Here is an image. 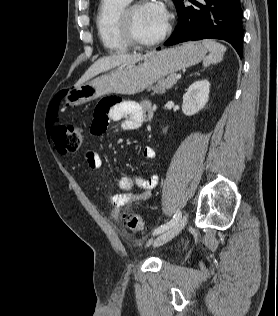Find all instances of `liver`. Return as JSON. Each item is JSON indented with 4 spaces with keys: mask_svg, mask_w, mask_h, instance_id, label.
<instances>
[{
    "mask_svg": "<svg viewBox=\"0 0 278 316\" xmlns=\"http://www.w3.org/2000/svg\"><path fill=\"white\" fill-rule=\"evenodd\" d=\"M153 52L147 53L142 55L141 53H134V54H119V55H111L106 56L98 59L86 72L85 74L79 79V81L75 84V87L82 85L89 79L93 78L94 76L108 71L112 68L137 62L144 57H148L152 55Z\"/></svg>",
    "mask_w": 278,
    "mask_h": 316,
    "instance_id": "liver-1",
    "label": "liver"
}]
</instances>
